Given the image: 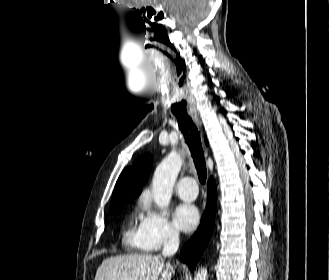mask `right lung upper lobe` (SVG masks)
<instances>
[{
    "label": "right lung upper lobe",
    "mask_w": 329,
    "mask_h": 280,
    "mask_svg": "<svg viewBox=\"0 0 329 280\" xmlns=\"http://www.w3.org/2000/svg\"><path fill=\"white\" fill-rule=\"evenodd\" d=\"M152 156L139 157L130 168H125L119 176L112 195L110 208L123 200L137 197L147 181L152 164Z\"/></svg>",
    "instance_id": "obj_1"
}]
</instances>
